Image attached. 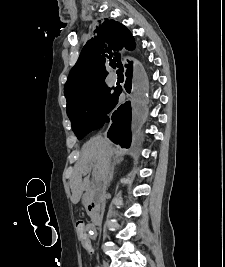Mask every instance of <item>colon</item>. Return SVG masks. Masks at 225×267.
<instances>
[{
	"mask_svg": "<svg viewBox=\"0 0 225 267\" xmlns=\"http://www.w3.org/2000/svg\"><path fill=\"white\" fill-rule=\"evenodd\" d=\"M76 230H77V233L80 234L82 237L85 236V224L83 220H78L76 222Z\"/></svg>",
	"mask_w": 225,
	"mask_h": 267,
	"instance_id": "1",
	"label": "colon"
}]
</instances>
